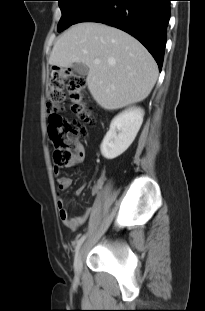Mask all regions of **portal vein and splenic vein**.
I'll return each instance as SVG.
<instances>
[{
    "instance_id": "obj_1",
    "label": "portal vein and splenic vein",
    "mask_w": 205,
    "mask_h": 311,
    "mask_svg": "<svg viewBox=\"0 0 205 311\" xmlns=\"http://www.w3.org/2000/svg\"><path fill=\"white\" fill-rule=\"evenodd\" d=\"M94 63H95V64H99V63H100V60H99V59H96V60H94Z\"/></svg>"
}]
</instances>
